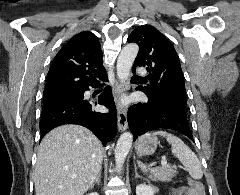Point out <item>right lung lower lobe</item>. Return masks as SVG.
I'll return each instance as SVG.
<instances>
[{
    "label": "right lung lower lobe",
    "mask_w": 240,
    "mask_h": 195,
    "mask_svg": "<svg viewBox=\"0 0 240 195\" xmlns=\"http://www.w3.org/2000/svg\"><path fill=\"white\" fill-rule=\"evenodd\" d=\"M105 78L103 81H106ZM99 84L93 85L96 88ZM89 87L78 91L74 96H55L43 101L40 121L41 139L53 128L63 124H78L90 129L106 145L117 132V112L111 88L105 91L96 101L84 100V92ZM99 104L107 107L109 113H100L94 110Z\"/></svg>",
    "instance_id": "98d812e1"
}]
</instances>
